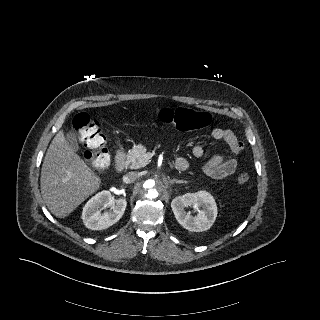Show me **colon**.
Segmentation results:
<instances>
[{"label":"colon","mask_w":320,"mask_h":320,"mask_svg":"<svg viewBox=\"0 0 320 320\" xmlns=\"http://www.w3.org/2000/svg\"><path fill=\"white\" fill-rule=\"evenodd\" d=\"M162 123L174 126L180 131H196L207 128L212 117L208 112L197 111L185 107L164 108L159 113ZM74 131L86 148L85 158L98 171L106 170L110 166V157L106 148V138L100 125L88 114H78L72 122ZM250 176L244 172L238 175L240 184L249 182Z\"/></svg>","instance_id":"colon-1"}]
</instances>
